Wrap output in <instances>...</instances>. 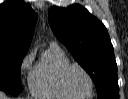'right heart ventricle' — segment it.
<instances>
[{
	"label": "right heart ventricle",
	"instance_id": "1",
	"mask_svg": "<svg viewBox=\"0 0 128 99\" xmlns=\"http://www.w3.org/2000/svg\"><path fill=\"white\" fill-rule=\"evenodd\" d=\"M69 63L66 53L58 47L50 46L30 75V90L38 99H68L59 85V72Z\"/></svg>",
	"mask_w": 128,
	"mask_h": 99
}]
</instances>
